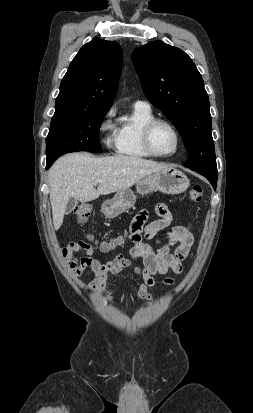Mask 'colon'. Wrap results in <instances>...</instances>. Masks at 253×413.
Listing matches in <instances>:
<instances>
[{
    "label": "colon",
    "mask_w": 253,
    "mask_h": 413,
    "mask_svg": "<svg viewBox=\"0 0 253 413\" xmlns=\"http://www.w3.org/2000/svg\"><path fill=\"white\" fill-rule=\"evenodd\" d=\"M202 194H203L202 187L200 185H194L191 187L189 191V198L192 201L197 202L201 200ZM74 213L77 217V221L80 224H85L91 214V205L87 203H83L75 208ZM89 238L93 240L92 236H89ZM123 241H124L123 237H117V238H114L108 241L99 242L98 244H99L100 249L103 252H109L111 250H114L118 246L122 245Z\"/></svg>",
    "instance_id": "5ec220e1"
}]
</instances>
